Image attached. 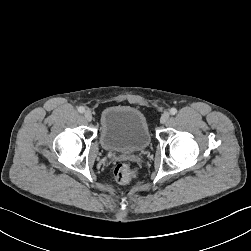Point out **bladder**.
I'll return each instance as SVG.
<instances>
[{"instance_id": "31cf9c89", "label": "bladder", "mask_w": 251, "mask_h": 251, "mask_svg": "<svg viewBox=\"0 0 251 251\" xmlns=\"http://www.w3.org/2000/svg\"><path fill=\"white\" fill-rule=\"evenodd\" d=\"M100 123V142L107 151L140 152L151 142L146 117L134 107H107L101 114Z\"/></svg>"}]
</instances>
